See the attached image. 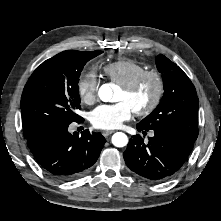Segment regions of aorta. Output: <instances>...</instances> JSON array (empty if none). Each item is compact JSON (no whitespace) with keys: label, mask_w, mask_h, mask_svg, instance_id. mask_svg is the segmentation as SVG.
<instances>
[{"label":"aorta","mask_w":221,"mask_h":221,"mask_svg":"<svg viewBox=\"0 0 221 221\" xmlns=\"http://www.w3.org/2000/svg\"><path fill=\"white\" fill-rule=\"evenodd\" d=\"M99 98L104 102L111 101L113 92L109 84H103L98 91ZM112 144L116 147H124L128 143V137L123 132H116L112 136Z\"/></svg>","instance_id":"aorta-1"}]
</instances>
